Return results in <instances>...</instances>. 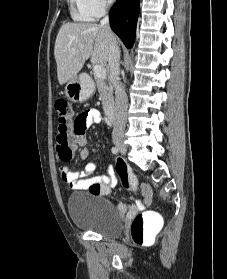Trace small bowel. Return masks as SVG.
I'll return each mask as SVG.
<instances>
[{
	"label": "small bowel",
	"mask_w": 227,
	"mask_h": 279,
	"mask_svg": "<svg viewBox=\"0 0 227 279\" xmlns=\"http://www.w3.org/2000/svg\"><path fill=\"white\" fill-rule=\"evenodd\" d=\"M87 118L85 121V127H89L92 124H99L102 122L101 114L96 109H89L87 112ZM84 131V130H83ZM75 134L76 144L81 147L79 153V159L85 161L89 157V150L87 148V138L84 132ZM98 164L95 161L88 162L85 167L80 171H71L67 167L60 168V175L62 180L71 189H89L92 183H97L101 186L99 191L101 194H109L110 191L115 188L118 184V179L115 174L113 166L109 167V176H94ZM120 182L123 187L133 190L140 191L141 198L136 201L134 205H127L125 203H118L117 208L119 211L128 214H135L138 210L149 206L152 202V191L148 185H137V180L130 169L126 174H119Z\"/></svg>",
	"instance_id": "1"
}]
</instances>
